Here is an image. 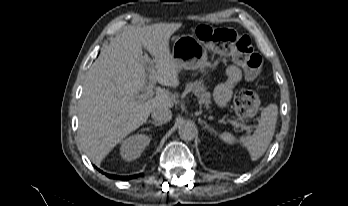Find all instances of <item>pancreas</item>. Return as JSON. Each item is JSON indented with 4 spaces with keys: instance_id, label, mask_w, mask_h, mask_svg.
Segmentation results:
<instances>
[{
    "instance_id": "obj_1",
    "label": "pancreas",
    "mask_w": 348,
    "mask_h": 206,
    "mask_svg": "<svg viewBox=\"0 0 348 206\" xmlns=\"http://www.w3.org/2000/svg\"><path fill=\"white\" fill-rule=\"evenodd\" d=\"M186 92H192L199 98V103L203 104L205 108H209L211 103V94L207 91V88L200 82H190L185 86Z\"/></svg>"
}]
</instances>
